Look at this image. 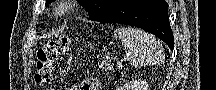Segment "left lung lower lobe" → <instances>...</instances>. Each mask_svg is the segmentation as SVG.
<instances>
[{"label": "left lung lower lobe", "instance_id": "obj_1", "mask_svg": "<svg viewBox=\"0 0 216 90\" xmlns=\"http://www.w3.org/2000/svg\"><path fill=\"white\" fill-rule=\"evenodd\" d=\"M93 20L132 25L144 29L163 40L171 50L174 48L168 4L165 0H125Z\"/></svg>", "mask_w": 216, "mask_h": 90}]
</instances>
